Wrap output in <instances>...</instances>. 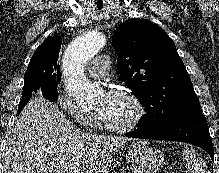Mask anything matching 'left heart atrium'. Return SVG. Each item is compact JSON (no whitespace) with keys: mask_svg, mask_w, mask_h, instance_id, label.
Instances as JSON below:
<instances>
[{"mask_svg":"<svg viewBox=\"0 0 219 173\" xmlns=\"http://www.w3.org/2000/svg\"><path fill=\"white\" fill-rule=\"evenodd\" d=\"M113 92H107L105 93V95L103 96V100L98 108L100 115H102V113L104 112L106 106L109 104V102L111 101L112 97H113Z\"/></svg>","mask_w":219,"mask_h":173,"instance_id":"obj_1","label":"left heart atrium"}]
</instances>
